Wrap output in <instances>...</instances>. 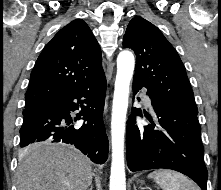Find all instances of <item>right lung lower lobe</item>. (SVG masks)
<instances>
[{
    "instance_id": "obj_1",
    "label": "right lung lower lobe",
    "mask_w": 221,
    "mask_h": 190,
    "mask_svg": "<svg viewBox=\"0 0 221 190\" xmlns=\"http://www.w3.org/2000/svg\"><path fill=\"white\" fill-rule=\"evenodd\" d=\"M106 77L70 91L24 114L20 129V147L44 140L75 146L94 163L103 164L108 157V138L103 122ZM78 100V101H76ZM80 109L76 118L71 111ZM86 121L74 126L73 121Z\"/></svg>"
}]
</instances>
